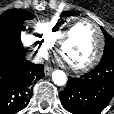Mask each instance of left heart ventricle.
Masks as SVG:
<instances>
[{
    "label": "left heart ventricle",
    "instance_id": "obj_1",
    "mask_svg": "<svg viewBox=\"0 0 114 114\" xmlns=\"http://www.w3.org/2000/svg\"><path fill=\"white\" fill-rule=\"evenodd\" d=\"M99 37L89 22L80 23L62 50L63 58L72 65H83L95 55Z\"/></svg>",
    "mask_w": 114,
    "mask_h": 114
}]
</instances>
